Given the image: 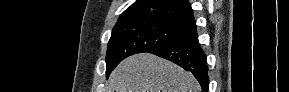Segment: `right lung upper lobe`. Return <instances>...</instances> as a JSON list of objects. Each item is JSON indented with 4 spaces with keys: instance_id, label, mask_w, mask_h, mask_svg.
<instances>
[{
    "instance_id": "right-lung-upper-lobe-1",
    "label": "right lung upper lobe",
    "mask_w": 289,
    "mask_h": 92,
    "mask_svg": "<svg viewBox=\"0 0 289 92\" xmlns=\"http://www.w3.org/2000/svg\"><path fill=\"white\" fill-rule=\"evenodd\" d=\"M155 19L191 27L195 21L187 0H138L126 9L118 22L129 19Z\"/></svg>"
}]
</instances>
